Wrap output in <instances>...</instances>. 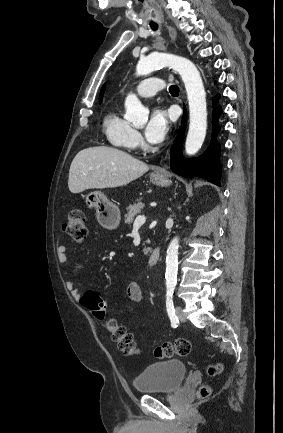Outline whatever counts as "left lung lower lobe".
Segmentation results:
<instances>
[{
	"label": "left lung lower lobe",
	"instance_id": "obj_1",
	"mask_svg": "<svg viewBox=\"0 0 283 433\" xmlns=\"http://www.w3.org/2000/svg\"><path fill=\"white\" fill-rule=\"evenodd\" d=\"M219 97L220 96L217 95L215 100H218ZM221 113L222 108L220 106L213 107L212 138L205 153L198 158L185 161L181 155V146L186 127V114L184 110L181 128L170 151V168L173 172L188 178L203 177L220 186L222 165L220 163V144L216 141V137L220 130L218 118Z\"/></svg>",
	"mask_w": 283,
	"mask_h": 433
}]
</instances>
